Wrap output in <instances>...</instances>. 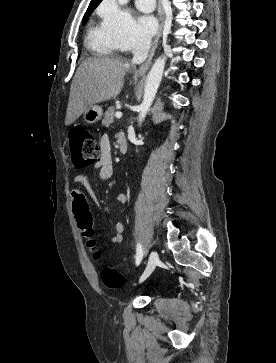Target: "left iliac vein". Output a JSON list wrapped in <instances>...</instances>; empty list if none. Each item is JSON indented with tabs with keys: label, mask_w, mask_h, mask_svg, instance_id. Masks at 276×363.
Masks as SVG:
<instances>
[{
	"label": "left iliac vein",
	"mask_w": 276,
	"mask_h": 363,
	"mask_svg": "<svg viewBox=\"0 0 276 363\" xmlns=\"http://www.w3.org/2000/svg\"><path fill=\"white\" fill-rule=\"evenodd\" d=\"M158 261H159L158 253L154 250L151 251L146 269L144 270L140 278V282L144 281L152 273Z\"/></svg>",
	"instance_id": "left-iliac-vein-1"
}]
</instances>
